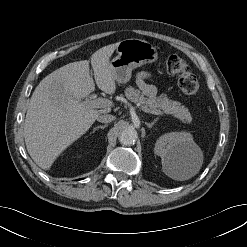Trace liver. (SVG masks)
Returning <instances> with one entry per match:
<instances>
[{
    "label": "liver",
    "mask_w": 247,
    "mask_h": 247,
    "mask_svg": "<svg viewBox=\"0 0 247 247\" xmlns=\"http://www.w3.org/2000/svg\"><path fill=\"white\" fill-rule=\"evenodd\" d=\"M118 43L104 46L91 56L98 88L113 94L116 83L109 59ZM95 90L89 61L69 63L47 75L35 88L24 123L27 151L42 169H49L58 155L81 137L100 114L82 101Z\"/></svg>",
    "instance_id": "6515ba94"
}]
</instances>
